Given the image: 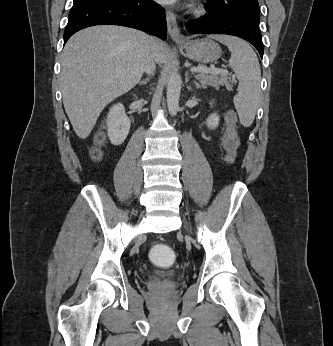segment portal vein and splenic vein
<instances>
[{"label":"portal vein and splenic vein","instance_id":"1","mask_svg":"<svg viewBox=\"0 0 333 346\" xmlns=\"http://www.w3.org/2000/svg\"><path fill=\"white\" fill-rule=\"evenodd\" d=\"M191 72H195V73H224V74H228L227 70L224 69H218L215 67H211V68H207V67H192Z\"/></svg>","mask_w":333,"mask_h":346}]
</instances>
